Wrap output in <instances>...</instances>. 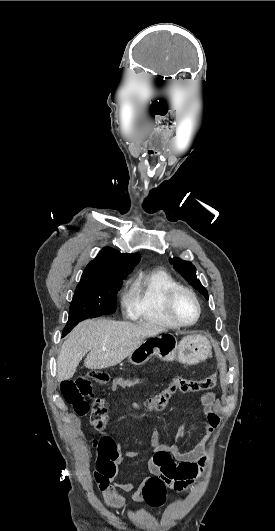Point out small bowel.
<instances>
[{"label":"small bowel","instance_id":"obj_1","mask_svg":"<svg viewBox=\"0 0 275 531\" xmlns=\"http://www.w3.org/2000/svg\"><path fill=\"white\" fill-rule=\"evenodd\" d=\"M108 380L113 384V390L117 392H125L129 388L128 383L125 382L126 376L124 374L112 373L109 375ZM128 380L130 382H135L136 380L141 382L143 377L141 375L137 377L130 375ZM215 398L216 394L214 392H206L200 396V403L204 415V436L192 449H180V443L185 433L186 425H182L179 428L177 435L170 444L160 442L159 431L155 430L152 433L150 445L153 450V455L147 461V469L148 471H158L160 477L165 479L166 484L177 492H182L189 488L208 462L206 444L220 422V418L214 410ZM110 443H115L113 438L109 435H104L95 441L94 445L99 448ZM137 454L133 450L126 451L116 461V465H119L123 460L135 458ZM94 477L101 492L102 500L109 508L121 511L129 508V503L121 495V492L131 493L132 500L135 504H143L141 494L142 483L117 482L116 475L108 480L97 473L94 474Z\"/></svg>","mask_w":275,"mask_h":531}]
</instances>
